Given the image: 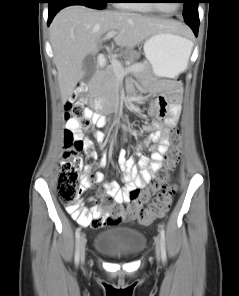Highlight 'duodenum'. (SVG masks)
I'll list each match as a JSON object with an SVG mask.
<instances>
[{
  "label": "duodenum",
  "instance_id": "410a0bca",
  "mask_svg": "<svg viewBox=\"0 0 239 296\" xmlns=\"http://www.w3.org/2000/svg\"><path fill=\"white\" fill-rule=\"evenodd\" d=\"M107 64V58L104 55H99L97 57V61H96V68L98 70H102L104 69V67ZM86 89L85 86L83 85H79L78 88L75 91V96H77L78 94L82 93L84 90ZM121 100H117L116 105L120 104ZM97 126H103L105 124V119L103 117H100L99 120L96 122Z\"/></svg>",
  "mask_w": 239,
  "mask_h": 296
}]
</instances>
